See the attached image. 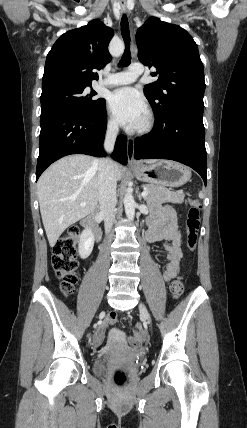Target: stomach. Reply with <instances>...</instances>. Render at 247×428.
I'll return each mask as SVG.
<instances>
[{"mask_svg":"<svg viewBox=\"0 0 247 428\" xmlns=\"http://www.w3.org/2000/svg\"><path fill=\"white\" fill-rule=\"evenodd\" d=\"M136 177L152 185L180 187L190 180V169L178 162L159 160L153 164H140L134 168Z\"/></svg>","mask_w":247,"mask_h":428,"instance_id":"0dacf381","label":"stomach"}]
</instances>
